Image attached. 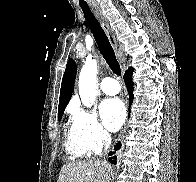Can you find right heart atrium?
<instances>
[{
	"label": "right heart atrium",
	"instance_id": "right-heart-atrium-1",
	"mask_svg": "<svg viewBox=\"0 0 196 182\" xmlns=\"http://www.w3.org/2000/svg\"><path fill=\"white\" fill-rule=\"evenodd\" d=\"M72 128L80 145L87 153H97L110 142V135L94 112L74 107Z\"/></svg>",
	"mask_w": 196,
	"mask_h": 182
}]
</instances>
